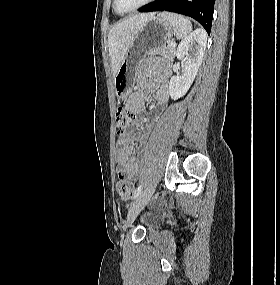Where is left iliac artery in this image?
Listing matches in <instances>:
<instances>
[{"instance_id": "obj_1", "label": "left iliac artery", "mask_w": 280, "mask_h": 285, "mask_svg": "<svg viewBox=\"0 0 280 285\" xmlns=\"http://www.w3.org/2000/svg\"><path fill=\"white\" fill-rule=\"evenodd\" d=\"M141 191H142V184H140L138 188L136 189L135 194H134V199H136L141 194Z\"/></svg>"}]
</instances>
